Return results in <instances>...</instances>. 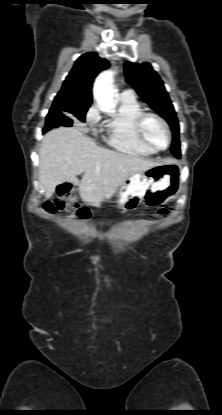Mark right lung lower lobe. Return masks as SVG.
Returning <instances> with one entry per match:
<instances>
[{
  "label": "right lung lower lobe",
  "instance_id": "98d812e1",
  "mask_svg": "<svg viewBox=\"0 0 222 415\" xmlns=\"http://www.w3.org/2000/svg\"><path fill=\"white\" fill-rule=\"evenodd\" d=\"M47 131H48V128L45 126V128L43 129V132L45 133Z\"/></svg>",
  "mask_w": 222,
  "mask_h": 415
}]
</instances>
